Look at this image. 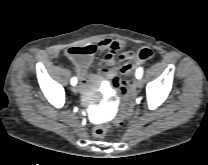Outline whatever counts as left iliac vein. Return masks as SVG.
Returning <instances> with one entry per match:
<instances>
[{
	"label": "left iliac vein",
	"mask_w": 208,
	"mask_h": 165,
	"mask_svg": "<svg viewBox=\"0 0 208 165\" xmlns=\"http://www.w3.org/2000/svg\"><path fill=\"white\" fill-rule=\"evenodd\" d=\"M135 84H136V86H137L138 88H141V87L143 86V81H142V79H137L136 82H135Z\"/></svg>",
	"instance_id": "left-iliac-vein-1"
}]
</instances>
